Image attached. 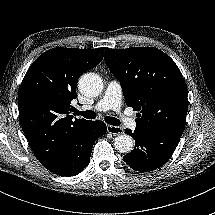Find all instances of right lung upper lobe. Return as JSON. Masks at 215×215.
<instances>
[{"mask_svg":"<svg viewBox=\"0 0 215 215\" xmlns=\"http://www.w3.org/2000/svg\"><path fill=\"white\" fill-rule=\"evenodd\" d=\"M104 48H53L39 56L23 78L18 94L22 130L46 168L64 151L68 138L87 122L69 115L79 77L103 59Z\"/></svg>","mask_w":215,"mask_h":215,"instance_id":"right-lung-upper-lobe-1","label":"right lung upper lobe"}]
</instances>
